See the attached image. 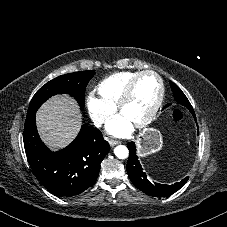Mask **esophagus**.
I'll use <instances>...</instances> for the list:
<instances>
[{"instance_id":"1","label":"esophagus","mask_w":227,"mask_h":227,"mask_svg":"<svg viewBox=\"0 0 227 227\" xmlns=\"http://www.w3.org/2000/svg\"><path fill=\"white\" fill-rule=\"evenodd\" d=\"M120 142L118 140H109V144L111 147L118 145Z\"/></svg>"}]
</instances>
